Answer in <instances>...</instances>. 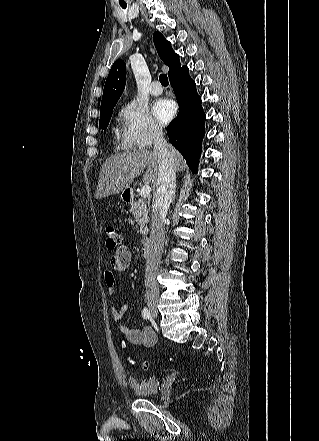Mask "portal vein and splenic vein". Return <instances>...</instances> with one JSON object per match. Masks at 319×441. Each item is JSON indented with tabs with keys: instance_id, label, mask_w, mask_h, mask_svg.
<instances>
[{
	"instance_id": "18ae733b",
	"label": "portal vein and splenic vein",
	"mask_w": 319,
	"mask_h": 441,
	"mask_svg": "<svg viewBox=\"0 0 319 441\" xmlns=\"http://www.w3.org/2000/svg\"><path fill=\"white\" fill-rule=\"evenodd\" d=\"M150 193H151V188H150L149 185H144L141 188L140 195H141L142 198H147L150 195Z\"/></svg>"
}]
</instances>
